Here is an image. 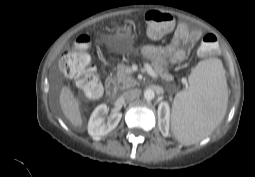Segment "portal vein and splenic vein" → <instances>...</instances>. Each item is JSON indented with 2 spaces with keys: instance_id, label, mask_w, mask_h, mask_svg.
Wrapping results in <instances>:
<instances>
[{
  "instance_id": "portal-vein-and-splenic-vein-1",
  "label": "portal vein and splenic vein",
  "mask_w": 255,
  "mask_h": 177,
  "mask_svg": "<svg viewBox=\"0 0 255 177\" xmlns=\"http://www.w3.org/2000/svg\"><path fill=\"white\" fill-rule=\"evenodd\" d=\"M144 67L147 71V73L153 77V78H157V74L155 73V71L152 69L151 65L149 63H145Z\"/></svg>"
}]
</instances>
